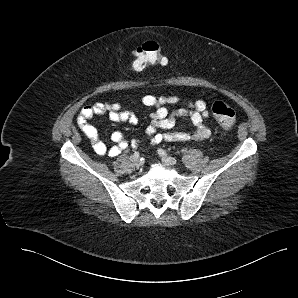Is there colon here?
Wrapping results in <instances>:
<instances>
[{
	"label": "colon",
	"instance_id": "obj_1",
	"mask_svg": "<svg viewBox=\"0 0 298 298\" xmlns=\"http://www.w3.org/2000/svg\"><path fill=\"white\" fill-rule=\"evenodd\" d=\"M164 56L158 43L147 41L138 46L133 52L132 68L143 71L151 65H162ZM211 111L218 124L226 131H231L236 124V113L226 103L216 101L211 106Z\"/></svg>",
	"mask_w": 298,
	"mask_h": 298
}]
</instances>
